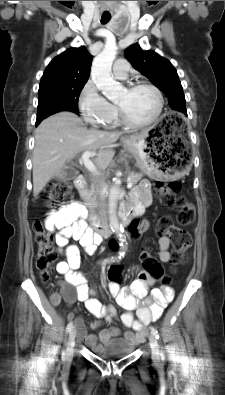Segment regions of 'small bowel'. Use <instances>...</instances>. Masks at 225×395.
<instances>
[{
  "instance_id": "c3829d8e",
  "label": "small bowel",
  "mask_w": 225,
  "mask_h": 395,
  "mask_svg": "<svg viewBox=\"0 0 225 395\" xmlns=\"http://www.w3.org/2000/svg\"><path fill=\"white\" fill-rule=\"evenodd\" d=\"M151 202L150 183L144 180L134 188L130 196V202L125 208L134 209L136 215H139ZM85 214L83 206L73 202L59 211L48 214L45 219V226L49 231H57L55 235L56 244L66 258L57 264L56 270L65 277L68 285L76 288V294L68 287L64 289L66 301L73 303L77 299L83 302L88 312L97 319L105 318L110 321L115 316V309L104 307L99 300L93 297L94 291L89 287L86 276L77 271L81 263L78 247L70 243L71 239L79 241L88 254H93L96 251L101 238L87 227L83 219ZM139 225L140 230L145 231L149 227V222L143 220ZM158 248L159 261L161 263L169 262L171 259L170 240L167 236L159 238ZM154 284L153 275H148L147 270L143 269L139 271L138 278L128 287L113 288V285H110V287L108 285L110 294L116 299L118 305L125 309V312L120 316V320L124 326L133 329L124 334V338L132 344H140L145 339L146 326L156 320L173 299L174 294L170 287H152ZM145 297H147V304H142L140 300ZM133 311H136L137 318L134 317ZM69 318H73V314H70ZM97 325L98 322L93 324L94 327ZM76 328L78 338L90 347H95L97 341L105 344L111 338L120 335L119 329L114 327L101 330L97 336L88 334L82 318L76 319Z\"/></svg>"
}]
</instances>
